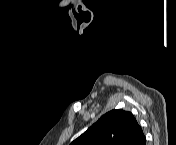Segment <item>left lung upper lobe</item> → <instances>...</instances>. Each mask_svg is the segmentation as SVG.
Here are the masks:
<instances>
[{
    "label": "left lung upper lobe",
    "mask_w": 176,
    "mask_h": 145,
    "mask_svg": "<svg viewBox=\"0 0 176 145\" xmlns=\"http://www.w3.org/2000/svg\"><path fill=\"white\" fill-rule=\"evenodd\" d=\"M146 138L131 112L109 111L71 145H144Z\"/></svg>",
    "instance_id": "left-lung-upper-lobe-1"
}]
</instances>
